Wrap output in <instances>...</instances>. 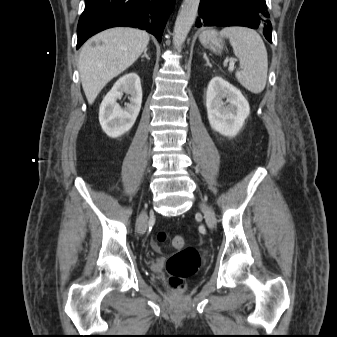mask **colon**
<instances>
[{"mask_svg": "<svg viewBox=\"0 0 337 337\" xmlns=\"http://www.w3.org/2000/svg\"><path fill=\"white\" fill-rule=\"evenodd\" d=\"M167 239L165 232H159L156 236L158 243ZM171 245L176 249L166 263L168 273L167 286L171 289L182 287L184 280L195 274L200 266V255L193 247L185 245L184 237L177 235L171 240Z\"/></svg>", "mask_w": 337, "mask_h": 337, "instance_id": "colon-1", "label": "colon"}]
</instances>
